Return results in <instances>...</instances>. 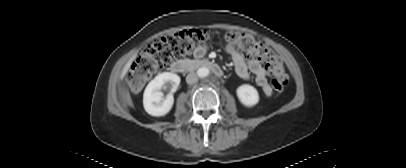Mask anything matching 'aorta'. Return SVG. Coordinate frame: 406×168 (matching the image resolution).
I'll list each match as a JSON object with an SVG mask.
<instances>
[{
	"mask_svg": "<svg viewBox=\"0 0 406 168\" xmlns=\"http://www.w3.org/2000/svg\"><path fill=\"white\" fill-rule=\"evenodd\" d=\"M197 75L200 78H205L209 75V69L207 67H201L197 70Z\"/></svg>",
	"mask_w": 406,
	"mask_h": 168,
	"instance_id": "aorta-1",
	"label": "aorta"
}]
</instances>
